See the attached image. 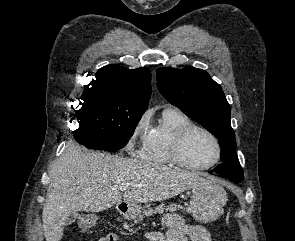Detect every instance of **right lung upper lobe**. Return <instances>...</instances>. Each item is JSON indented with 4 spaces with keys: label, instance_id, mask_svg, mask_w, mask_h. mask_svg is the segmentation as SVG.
Wrapping results in <instances>:
<instances>
[{
    "label": "right lung upper lobe",
    "instance_id": "1",
    "mask_svg": "<svg viewBox=\"0 0 295 241\" xmlns=\"http://www.w3.org/2000/svg\"><path fill=\"white\" fill-rule=\"evenodd\" d=\"M93 80L84 89L83 96L90 92H102L130 104L147 108L151 95V72L147 67L127 69L119 65L100 68Z\"/></svg>",
    "mask_w": 295,
    "mask_h": 241
}]
</instances>
